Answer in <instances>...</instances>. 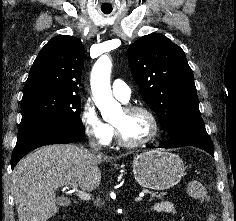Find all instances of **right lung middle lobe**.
<instances>
[{"label": "right lung middle lobe", "mask_w": 236, "mask_h": 221, "mask_svg": "<svg viewBox=\"0 0 236 221\" xmlns=\"http://www.w3.org/2000/svg\"><path fill=\"white\" fill-rule=\"evenodd\" d=\"M21 126L37 121H49L82 129L78 94L36 91L24 94L21 103Z\"/></svg>", "instance_id": "1"}]
</instances>
